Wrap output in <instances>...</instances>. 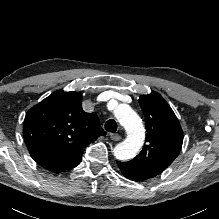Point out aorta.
I'll return each instance as SVG.
<instances>
[{
	"instance_id": "obj_1",
	"label": "aorta",
	"mask_w": 219,
	"mask_h": 219,
	"mask_svg": "<svg viewBox=\"0 0 219 219\" xmlns=\"http://www.w3.org/2000/svg\"><path fill=\"white\" fill-rule=\"evenodd\" d=\"M115 117L127 131V138L114 148V156L121 161L133 158L141 149L145 140V128L137 113L126 104L115 109Z\"/></svg>"
}]
</instances>
